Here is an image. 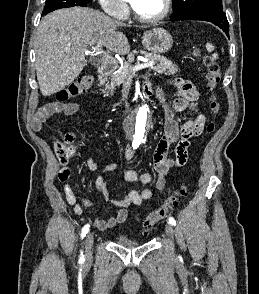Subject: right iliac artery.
I'll use <instances>...</instances> for the list:
<instances>
[{"label":"right iliac artery","instance_id":"right-iliac-artery-1","mask_svg":"<svg viewBox=\"0 0 259 294\" xmlns=\"http://www.w3.org/2000/svg\"><path fill=\"white\" fill-rule=\"evenodd\" d=\"M139 145H140V143L139 142H133L132 143V147H133V149H136L137 147H139ZM89 227H90V225L89 224H87V225H85L83 228H82V232H81V238L83 239L85 236H86V234L88 233V231H89ZM85 261V259H84V255H83V252H81V254H80V258H79V263H83Z\"/></svg>","mask_w":259,"mask_h":294}]
</instances>
